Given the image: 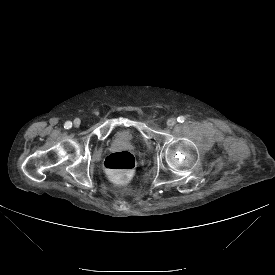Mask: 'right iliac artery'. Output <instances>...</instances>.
<instances>
[{
  "label": "right iliac artery",
  "instance_id": "82829eb1",
  "mask_svg": "<svg viewBox=\"0 0 275 275\" xmlns=\"http://www.w3.org/2000/svg\"><path fill=\"white\" fill-rule=\"evenodd\" d=\"M71 127H72V122L71 121L65 122V124H64L65 129H70Z\"/></svg>",
  "mask_w": 275,
  "mask_h": 275
}]
</instances>
